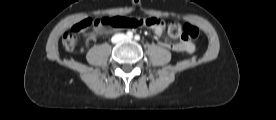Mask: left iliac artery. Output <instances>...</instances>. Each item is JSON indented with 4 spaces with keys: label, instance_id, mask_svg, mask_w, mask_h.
<instances>
[{
    "label": "left iliac artery",
    "instance_id": "obj_1",
    "mask_svg": "<svg viewBox=\"0 0 276 120\" xmlns=\"http://www.w3.org/2000/svg\"><path fill=\"white\" fill-rule=\"evenodd\" d=\"M135 40H140V36L139 35H135Z\"/></svg>",
    "mask_w": 276,
    "mask_h": 120
}]
</instances>
